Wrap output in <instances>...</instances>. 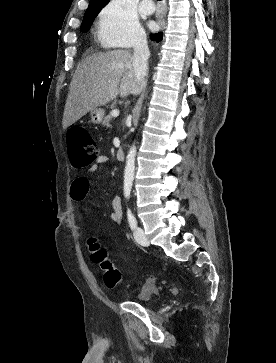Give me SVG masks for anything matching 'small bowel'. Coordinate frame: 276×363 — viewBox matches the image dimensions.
<instances>
[{"label":"small bowel","mask_w":276,"mask_h":363,"mask_svg":"<svg viewBox=\"0 0 276 363\" xmlns=\"http://www.w3.org/2000/svg\"><path fill=\"white\" fill-rule=\"evenodd\" d=\"M109 159L107 156H100L97 161L88 168V172H95L99 167L107 165ZM90 190V181L84 176L76 177L70 185V197L75 202H83L86 200ZM112 213L110 218L115 225L122 223V201L120 196L112 199Z\"/></svg>","instance_id":"1"}]
</instances>
